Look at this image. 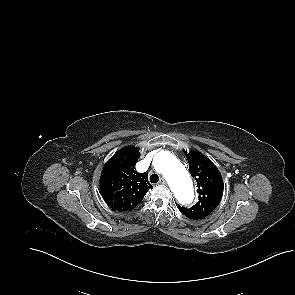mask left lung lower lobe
<instances>
[{
  "instance_id": "left-lung-lower-lobe-1",
  "label": "left lung lower lobe",
  "mask_w": 295,
  "mask_h": 295,
  "mask_svg": "<svg viewBox=\"0 0 295 295\" xmlns=\"http://www.w3.org/2000/svg\"><path fill=\"white\" fill-rule=\"evenodd\" d=\"M186 216V215H185ZM186 217H188V218H190V219H194V220H196L195 218H193V217H191V216H186Z\"/></svg>"
}]
</instances>
